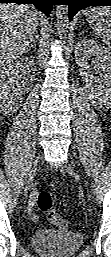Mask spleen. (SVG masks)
<instances>
[{
  "mask_svg": "<svg viewBox=\"0 0 111 257\" xmlns=\"http://www.w3.org/2000/svg\"><path fill=\"white\" fill-rule=\"evenodd\" d=\"M86 19L93 32L111 48V7H93L86 13Z\"/></svg>",
  "mask_w": 111,
  "mask_h": 257,
  "instance_id": "obj_1",
  "label": "spleen"
}]
</instances>
